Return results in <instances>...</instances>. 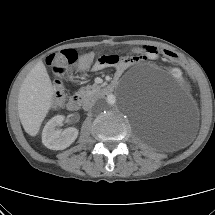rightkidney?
Wrapping results in <instances>:
<instances>
[{
  "label": "right kidney",
  "instance_id": "ca27d5eb",
  "mask_svg": "<svg viewBox=\"0 0 215 215\" xmlns=\"http://www.w3.org/2000/svg\"><path fill=\"white\" fill-rule=\"evenodd\" d=\"M63 115L54 116L45 125L42 132V143L52 150H63L69 147L77 138L78 130L74 127L59 130L57 127L64 121Z\"/></svg>",
  "mask_w": 215,
  "mask_h": 215
}]
</instances>
